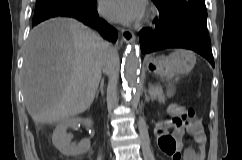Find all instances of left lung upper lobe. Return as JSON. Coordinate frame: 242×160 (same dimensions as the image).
<instances>
[{
  "label": "left lung upper lobe",
  "mask_w": 242,
  "mask_h": 160,
  "mask_svg": "<svg viewBox=\"0 0 242 160\" xmlns=\"http://www.w3.org/2000/svg\"><path fill=\"white\" fill-rule=\"evenodd\" d=\"M161 15L173 19H206L205 0H152Z\"/></svg>",
  "instance_id": "left-lung-upper-lobe-1"
}]
</instances>
